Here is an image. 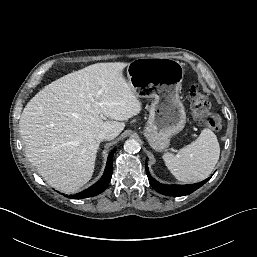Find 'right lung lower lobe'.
<instances>
[{"label": "right lung lower lobe", "instance_id": "obj_1", "mask_svg": "<svg viewBox=\"0 0 257 257\" xmlns=\"http://www.w3.org/2000/svg\"><path fill=\"white\" fill-rule=\"evenodd\" d=\"M115 151H116V149H113L111 151V153L109 154L104 174L97 183H95L88 189L77 193L76 195H70L67 197L71 198V199H83V198H87V197H91V196H96V195L102 193L107 188V186L111 180V176H112V172H113V159L112 158H113Z\"/></svg>", "mask_w": 257, "mask_h": 257}]
</instances>
